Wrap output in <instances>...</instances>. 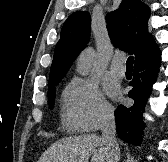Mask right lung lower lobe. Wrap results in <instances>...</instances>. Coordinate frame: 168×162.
Here are the masks:
<instances>
[{
  "label": "right lung lower lobe",
  "instance_id": "obj_1",
  "mask_svg": "<svg viewBox=\"0 0 168 162\" xmlns=\"http://www.w3.org/2000/svg\"><path fill=\"white\" fill-rule=\"evenodd\" d=\"M159 66V49L150 56L135 62L134 77L129 83L133 88L128 94L134 100V104L131 107L119 105L115 116L118 136L127 143L141 144L144 129L143 112H145L152 85L156 81Z\"/></svg>",
  "mask_w": 168,
  "mask_h": 162
}]
</instances>
